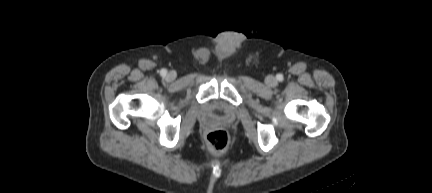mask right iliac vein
<instances>
[{"label":"right iliac vein","mask_w":432,"mask_h":193,"mask_svg":"<svg viewBox=\"0 0 432 193\" xmlns=\"http://www.w3.org/2000/svg\"><path fill=\"white\" fill-rule=\"evenodd\" d=\"M167 80L169 81H173L176 78V73L173 71H170L167 75H166Z\"/></svg>","instance_id":"63e3f726"}]
</instances>
